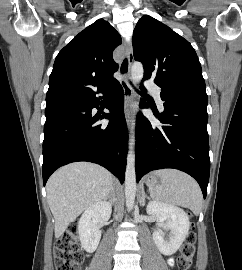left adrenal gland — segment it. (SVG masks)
Wrapping results in <instances>:
<instances>
[{"label": "left adrenal gland", "instance_id": "1", "mask_svg": "<svg viewBox=\"0 0 242 270\" xmlns=\"http://www.w3.org/2000/svg\"><path fill=\"white\" fill-rule=\"evenodd\" d=\"M145 198H146V194H145V191L143 190L142 191V196H141V199H140V205L141 206L145 205Z\"/></svg>", "mask_w": 242, "mask_h": 270}]
</instances>
